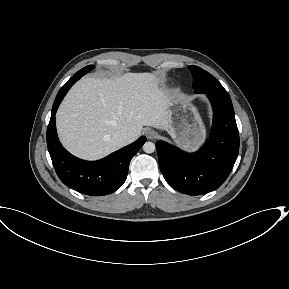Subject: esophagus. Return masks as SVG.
I'll return each instance as SVG.
<instances>
[{
    "mask_svg": "<svg viewBox=\"0 0 289 289\" xmlns=\"http://www.w3.org/2000/svg\"><path fill=\"white\" fill-rule=\"evenodd\" d=\"M145 135H146L147 139L153 140V139L157 138L158 133L153 129H148V130H146Z\"/></svg>",
    "mask_w": 289,
    "mask_h": 289,
    "instance_id": "obj_1",
    "label": "esophagus"
}]
</instances>
